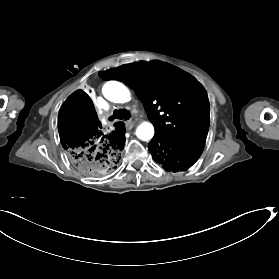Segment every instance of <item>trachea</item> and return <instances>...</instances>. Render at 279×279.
Instances as JSON below:
<instances>
[{
	"instance_id": "trachea-1",
	"label": "trachea",
	"mask_w": 279,
	"mask_h": 279,
	"mask_svg": "<svg viewBox=\"0 0 279 279\" xmlns=\"http://www.w3.org/2000/svg\"><path fill=\"white\" fill-rule=\"evenodd\" d=\"M130 118V111L127 109H117L114 110L113 115L109 117V121L114 119H124L128 120Z\"/></svg>"
}]
</instances>
